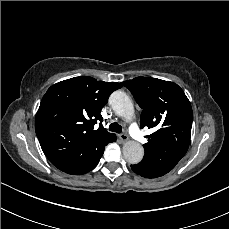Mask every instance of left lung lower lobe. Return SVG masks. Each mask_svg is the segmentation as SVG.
I'll return each instance as SVG.
<instances>
[{"mask_svg":"<svg viewBox=\"0 0 229 229\" xmlns=\"http://www.w3.org/2000/svg\"><path fill=\"white\" fill-rule=\"evenodd\" d=\"M132 170L145 178H156L158 176H156L150 169H148L147 167L141 165L140 163L135 164V165H131Z\"/></svg>","mask_w":229,"mask_h":229,"instance_id":"obj_1","label":"left lung lower lobe"}]
</instances>
